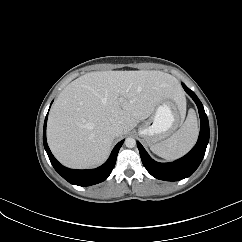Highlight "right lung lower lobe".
Returning <instances> with one entry per match:
<instances>
[{
	"mask_svg": "<svg viewBox=\"0 0 242 242\" xmlns=\"http://www.w3.org/2000/svg\"><path fill=\"white\" fill-rule=\"evenodd\" d=\"M48 116V114H47ZM47 116L44 122V130H43V143L45 150L48 154L51 164L54 169L69 183L79 186H90L97 183H100L108 178L111 174L117 159V155L120 147L122 146L124 140L120 141L112 150L110 157L108 160L100 167L96 169L90 170H73L64 167L61 165L55 157L52 155L46 141V124H47Z\"/></svg>",
	"mask_w": 242,
	"mask_h": 242,
	"instance_id": "right-lung-lower-lobe-1",
	"label": "right lung lower lobe"
}]
</instances>
